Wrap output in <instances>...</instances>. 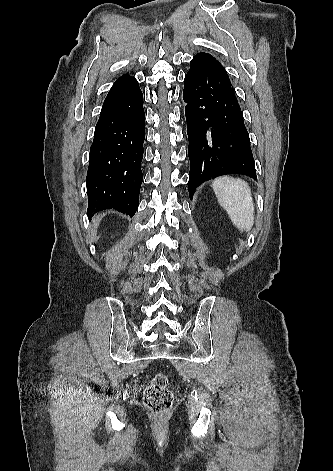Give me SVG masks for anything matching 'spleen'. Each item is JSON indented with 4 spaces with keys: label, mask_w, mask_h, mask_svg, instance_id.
<instances>
[{
    "label": "spleen",
    "mask_w": 333,
    "mask_h": 471,
    "mask_svg": "<svg viewBox=\"0 0 333 471\" xmlns=\"http://www.w3.org/2000/svg\"><path fill=\"white\" fill-rule=\"evenodd\" d=\"M217 200L239 231H250L254 224V204L246 181L222 176L212 183Z\"/></svg>",
    "instance_id": "1"
}]
</instances>
